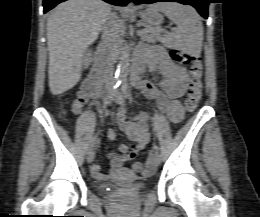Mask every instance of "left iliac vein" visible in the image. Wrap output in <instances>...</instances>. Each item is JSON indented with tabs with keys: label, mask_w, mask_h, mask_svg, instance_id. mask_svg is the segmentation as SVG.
Instances as JSON below:
<instances>
[{
	"label": "left iliac vein",
	"mask_w": 260,
	"mask_h": 217,
	"mask_svg": "<svg viewBox=\"0 0 260 217\" xmlns=\"http://www.w3.org/2000/svg\"><path fill=\"white\" fill-rule=\"evenodd\" d=\"M115 101L117 104H123L124 103V96L121 92H117L115 95ZM149 162L151 166H158L160 164V154L158 152H153L150 155Z\"/></svg>",
	"instance_id": "1"
}]
</instances>
